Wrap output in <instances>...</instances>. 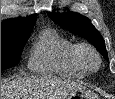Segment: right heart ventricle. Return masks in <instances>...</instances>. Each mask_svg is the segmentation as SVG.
Wrapping results in <instances>:
<instances>
[{"label":"right heart ventricle","instance_id":"1","mask_svg":"<svg viewBox=\"0 0 115 99\" xmlns=\"http://www.w3.org/2000/svg\"><path fill=\"white\" fill-rule=\"evenodd\" d=\"M75 43L54 29L42 31L36 39L28 60L31 71L81 79L87 75L74 58Z\"/></svg>","mask_w":115,"mask_h":99}]
</instances>
